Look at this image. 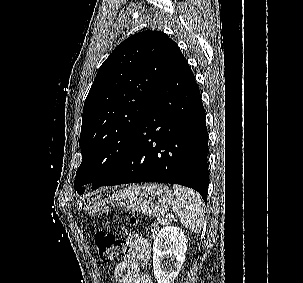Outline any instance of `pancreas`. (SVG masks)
I'll return each instance as SVG.
<instances>
[{
    "label": "pancreas",
    "mask_w": 303,
    "mask_h": 283,
    "mask_svg": "<svg viewBox=\"0 0 303 283\" xmlns=\"http://www.w3.org/2000/svg\"><path fill=\"white\" fill-rule=\"evenodd\" d=\"M160 229H161V228L158 226L157 223H154V224H153L152 229H151L152 237H153V238L155 237V235H156L157 233H159Z\"/></svg>",
    "instance_id": "obj_1"
}]
</instances>
